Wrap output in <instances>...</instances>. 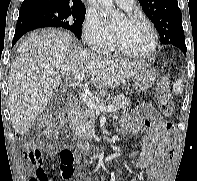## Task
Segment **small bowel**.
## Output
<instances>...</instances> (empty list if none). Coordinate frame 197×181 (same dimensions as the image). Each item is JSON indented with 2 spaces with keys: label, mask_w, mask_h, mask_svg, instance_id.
<instances>
[{
  "label": "small bowel",
  "mask_w": 197,
  "mask_h": 181,
  "mask_svg": "<svg viewBox=\"0 0 197 181\" xmlns=\"http://www.w3.org/2000/svg\"><path fill=\"white\" fill-rule=\"evenodd\" d=\"M121 126L128 135H135L142 130H147L143 139L142 152L138 160L139 169L146 172L144 181H166L168 178V165L171 158L174 140L173 130L170 124L160 120L157 111L147 104L138 106L131 115H124ZM47 150L54 153V145H48ZM32 150L28 153L31 157Z\"/></svg>",
  "instance_id": "1"
}]
</instances>
